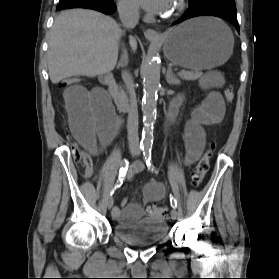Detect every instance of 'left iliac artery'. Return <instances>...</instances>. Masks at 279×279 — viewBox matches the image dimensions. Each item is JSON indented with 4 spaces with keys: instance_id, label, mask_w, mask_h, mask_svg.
Instances as JSON below:
<instances>
[{
    "instance_id": "left-iliac-artery-1",
    "label": "left iliac artery",
    "mask_w": 279,
    "mask_h": 279,
    "mask_svg": "<svg viewBox=\"0 0 279 279\" xmlns=\"http://www.w3.org/2000/svg\"><path fill=\"white\" fill-rule=\"evenodd\" d=\"M151 147H146L143 151V154H144V158H145V161H146V165L147 167L152 171H156L154 166L152 165V161H151ZM170 202H171V206L173 208H177V201L176 199L170 195Z\"/></svg>"
}]
</instances>
